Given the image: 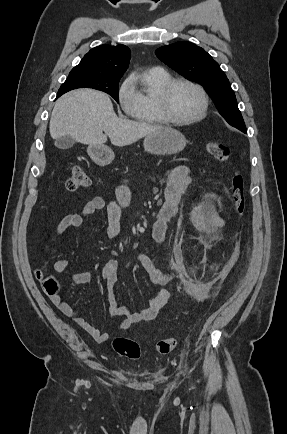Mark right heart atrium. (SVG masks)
I'll list each match as a JSON object with an SVG mask.
<instances>
[{
  "instance_id": "d8ad5b80",
  "label": "right heart atrium",
  "mask_w": 287,
  "mask_h": 434,
  "mask_svg": "<svg viewBox=\"0 0 287 434\" xmlns=\"http://www.w3.org/2000/svg\"><path fill=\"white\" fill-rule=\"evenodd\" d=\"M118 101L122 110L128 115H133L140 107L141 95L136 87L133 75L128 76L120 85Z\"/></svg>"
}]
</instances>
